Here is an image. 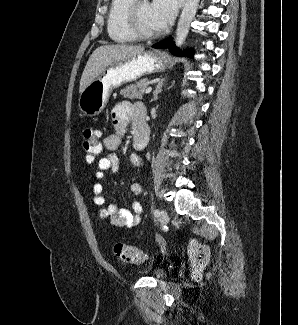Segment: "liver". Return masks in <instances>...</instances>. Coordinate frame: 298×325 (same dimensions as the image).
<instances>
[{
	"mask_svg": "<svg viewBox=\"0 0 298 325\" xmlns=\"http://www.w3.org/2000/svg\"><path fill=\"white\" fill-rule=\"evenodd\" d=\"M144 50L145 46H133V44H102V46H97L90 54L81 74L79 80L80 94L98 74H102L107 64L135 56Z\"/></svg>",
	"mask_w": 298,
	"mask_h": 325,
	"instance_id": "1",
	"label": "liver"
}]
</instances>
